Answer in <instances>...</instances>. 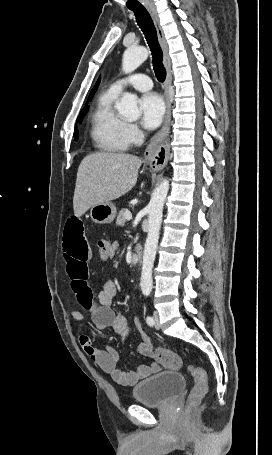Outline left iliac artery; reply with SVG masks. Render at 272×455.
<instances>
[{"label":"left iliac artery","mask_w":272,"mask_h":455,"mask_svg":"<svg viewBox=\"0 0 272 455\" xmlns=\"http://www.w3.org/2000/svg\"><path fill=\"white\" fill-rule=\"evenodd\" d=\"M146 322L149 326H152L154 324V320L151 316L146 317Z\"/></svg>","instance_id":"44dca946"}]
</instances>
